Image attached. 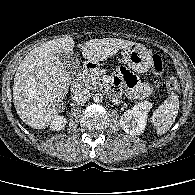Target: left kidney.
<instances>
[{"mask_svg": "<svg viewBox=\"0 0 195 195\" xmlns=\"http://www.w3.org/2000/svg\"><path fill=\"white\" fill-rule=\"evenodd\" d=\"M152 108L149 101L139 102L132 109L127 110L120 118L122 129L133 136L144 132L148 118V112Z\"/></svg>", "mask_w": 195, "mask_h": 195, "instance_id": "left-kidney-1", "label": "left kidney"}]
</instances>
